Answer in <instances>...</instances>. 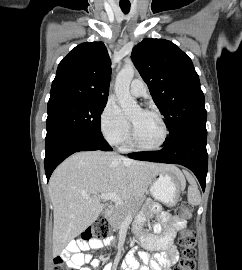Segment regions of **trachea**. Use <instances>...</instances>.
Listing matches in <instances>:
<instances>
[{
    "instance_id": "3493384b",
    "label": "trachea",
    "mask_w": 242,
    "mask_h": 270,
    "mask_svg": "<svg viewBox=\"0 0 242 270\" xmlns=\"http://www.w3.org/2000/svg\"><path fill=\"white\" fill-rule=\"evenodd\" d=\"M120 8L123 11V13H125V14L129 13V11H130V6L121 5Z\"/></svg>"
}]
</instances>
